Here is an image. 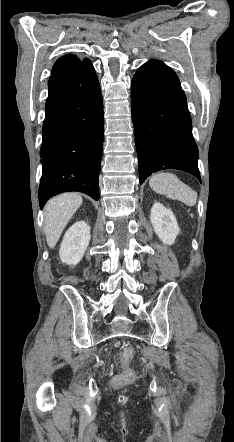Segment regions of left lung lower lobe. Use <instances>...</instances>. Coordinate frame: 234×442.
<instances>
[{"label": "left lung lower lobe", "mask_w": 234, "mask_h": 442, "mask_svg": "<svg viewBox=\"0 0 234 442\" xmlns=\"http://www.w3.org/2000/svg\"><path fill=\"white\" fill-rule=\"evenodd\" d=\"M131 109L140 184L164 169L183 170L200 181L191 117L174 71L154 60L142 65L131 83Z\"/></svg>", "instance_id": "0a47b994"}]
</instances>
